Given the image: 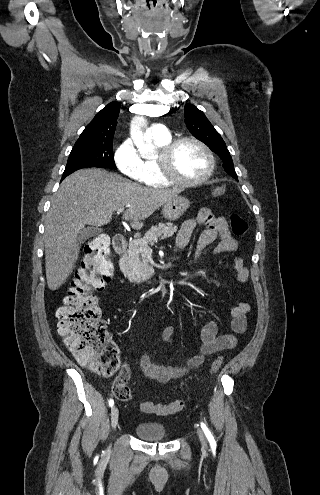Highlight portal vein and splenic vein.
I'll use <instances>...</instances> for the list:
<instances>
[{
    "instance_id": "portal-vein-and-splenic-vein-1",
    "label": "portal vein and splenic vein",
    "mask_w": 320,
    "mask_h": 495,
    "mask_svg": "<svg viewBox=\"0 0 320 495\" xmlns=\"http://www.w3.org/2000/svg\"><path fill=\"white\" fill-rule=\"evenodd\" d=\"M123 210H124L123 208L118 209L117 214H120L121 212H123ZM149 251H151V249H146V252H149Z\"/></svg>"
}]
</instances>
